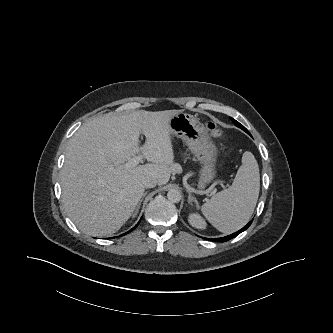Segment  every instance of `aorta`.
<instances>
[{
  "mask_svg": "<svg viewBox=\"0 0 333 333\" xmlns=\"http://www.w3.org/2000/svg\"><path fill=\"white\" fill-rule=\"evenodd\" d=\"M167 198L170 202L178 203L181 200V193L177 189H171L167 193Z\"/></svg>",
  "mask_w": 333,
  "mask_h": 333,
  "instance_id": "obj_1",
  "label": "aorta"
}]
</instances>
